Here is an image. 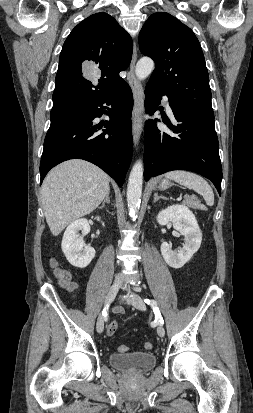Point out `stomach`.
<instances>
[{
  "label": "stomach",
  "mask_w": 253,
  "mask_h": 413,
  "mask_svg": "<svg viewBox=\"0 0 253 413\" xmlns=\"http://www.w3.org/2000/svg\"><path fill=\"white\" fill-rule=\"evenodd\" d=\"M172 185H173V183H171L168 179H163V180L160 181V183L158 185V188L160 190H165V189L169 188Z\"/></svg>",
  "instance_id": "1"
}]
</instances>
